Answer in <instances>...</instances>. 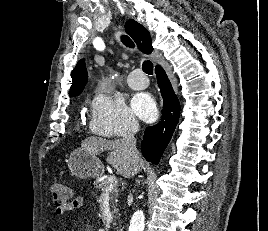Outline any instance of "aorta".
<instances>
[{
  "instance_id": "obj_1",
  "label": "aorta",
  "mask_w": 268,
  "mask_h": 231,
  "mask_svg": "<svg viewBox=\"0 0 268 231\" xmlns=\"http://www.w3.org/2000/svg\"><path fill=\"white\" fill-rule=\"evenodd\" d=\"M144 222H145V217H144L143 211L137 210L136 212H134L131 218L129 231H143Z\"/></svg>"
}]
</instances>
